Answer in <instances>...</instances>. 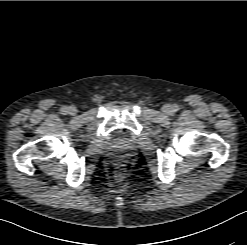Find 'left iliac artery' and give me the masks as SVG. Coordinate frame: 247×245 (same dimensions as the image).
I'll list each match as a JSON object with an SVG mask.
<instances>
[{"label":"left iliac artery","instance_id":"left-iliac-artery-1","mask_svg":"<svg viewBox=\"0 0 247 245\" xmlns=\"http://www.w3.org/2000/svg\"><path fill=\"white\" fill-rule=\"evenodd\" d=\"M177 110H178V106L177 105H174L173 112H176Z\"/></svg>","mask_w":247,"mask_h":245}]
</instances>
